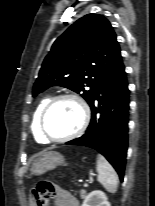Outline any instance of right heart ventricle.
<instances>
[{
    "mask_svg": "<svg viewBox=\"0 0 155 206\" xmlns=\"http://www.w3.org/2000/svg\"><path fill=\"white\" fill-rule=\"evenodd\" d=\"M49 100H50V98L46 96V97H43L39 101V103L37 104V106L35 108V111L33 114V119H32L31 128H32L33 136H34L35 140L41 144H45V143H47V141L43 138V136L39 132V118H40V115H41L43 108L45 107V105L48 103Z\"/></svg>",
    "mask_w": 155,
    "mask_h": 206,
    "instance_id": "e07e8e85",
    "label": "right heart ventricle"
}]
</instances>
